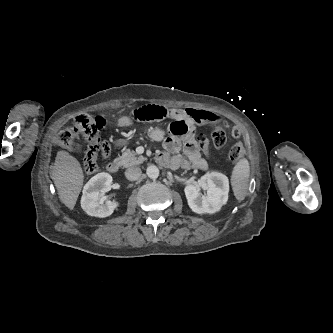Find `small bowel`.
I'll return each instance as SVG.
<instances>
[{
    "instance_id": "obj_1",
    "label": "small bowel",
    "mask_w": 333,
    "mask_h": 333,
    "mask_svg": "<svg viewBox=\"0 0 333 333\" xmlns=\"http://www.w3.org/2000/svg\"><path fill=\"white\" fill-rule=\"evenodd\" d=\"M183 118H192L201 123L214 122L225 126L235 137L237 134L230 126L227 120L221 116L205 111V110H187L183 111ZM138 121V120H137ZM191 124L190 122L186 121ZM134 122H129L126 118L119 120L115 123L117 128L125 125H131ZM159 163L170 168H183L190 169L196 168L205 170L207 168L206 160L201 156L200 147L192 138V135L185 136L181 139L179 135L173 134L169 136L164 142V151L160 152L157 156Z\"/></svg>"
}]
</instances>
